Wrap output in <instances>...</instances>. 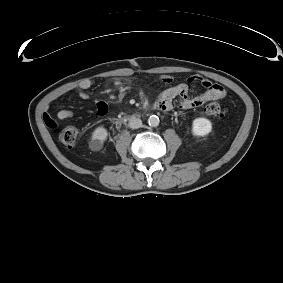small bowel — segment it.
<instances>
[{"mask_svg": "<svg viewBox=\"0 0 283 283\" xmlns=\"http://www.w3.org/2000/svg\"><path fill=\"white\" fill-rule=\"evenodd\" d=\"M173 77L170 75H161L156 78V81L160 82L165 88L160 92L156 106L161 110H169L173 107V103L176 101L181 108L191 109L200 107L207 102L222 99L226 96V90L215 83H212L209 79L194 75L188 78L187 83H179L173 85ZM198 82L202 85L204 90L194 96L189 94V83ZM93 86L91 79H83L78 84L76 91L82 99H87V90ZM107 104L104 101H100L97 104V111L103 115L106 113ZM57 119L67 120L73 117V111L70 109H62L57 113ZM44 121L47 126L54 127L55 119L46 114L44 115Z\"/></svg>", "mask_w": 283, "mask_h": 283, "instance_id": "c3829d8e", "label": "small bowel"}]
</instances>
